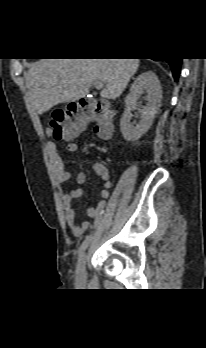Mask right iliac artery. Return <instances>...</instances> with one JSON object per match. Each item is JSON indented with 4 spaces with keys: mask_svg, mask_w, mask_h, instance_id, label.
Masks as SVG:
<instances>
[{
    "mask_svg": "<svg viewBox=\"0 0 206 348\" xmlns=\"http://www.w3.org/2000/svg\"><path fill=\"white\" fill-rule=\"evenodd\" d=\"M107 200L105 198L100 199V201L97 202V213L95 217V225L97 226L99 222L103 219L104 209L106 207ZM92 238V234L87 236L85 240L82 242L79 252H78V258L82 257L83 253L85 252L86 248L88 247L90 241Z\"/></svg>",
    "mask_w": 206,
    "mask_h": 348,
    "instance_id": "1",
    "label": "right iliac artery"
}]
</instances>
